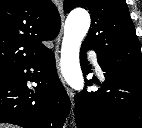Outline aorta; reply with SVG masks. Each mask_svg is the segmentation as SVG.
I'll list each match as a JSON object with an SVG mask.
<instances>
[{
    "instance_id": "1",
    "label": "aorta",
    "mask_w": 142,
    "mask_h": 128,
    "mask_svg": "<svg viewBox=\"0 0 142 128\" xmlns=\"http://www.w3.org/2000/svg\"><path fill=\"white\" fill-rule=\"evenodd\" d=\"M89 27L90 16L86 10H76L70 13L64 27L60 59L61 72L67 84L77 91H81L84 85L79 52Z\"/></svg>"
}]
</instances>
